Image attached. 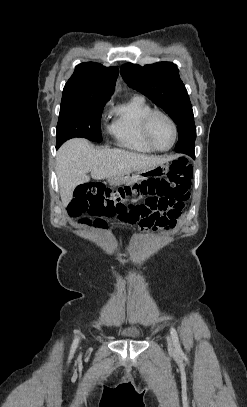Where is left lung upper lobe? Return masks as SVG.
Here are the masks:
<instances>
[{
	"label": "left lung upper lobe",
	"instance_id": "obj_1",
	"mask_svg": "<svg viewBox=\"0 0 247 407\" xmlns=\"http://www.w3.org/2000/svg\"><path fill=\"white\" fill-rule=\"evenodd\" d=\"M120 73L129 87L151 99L175 122L179 133L175 151L195 156L196 127L192 105L176 65L157 62L142 67L127 63Z\"/></svg>",
	"mask_w": 247,
	"mask_h": 407
}]
</instances>
